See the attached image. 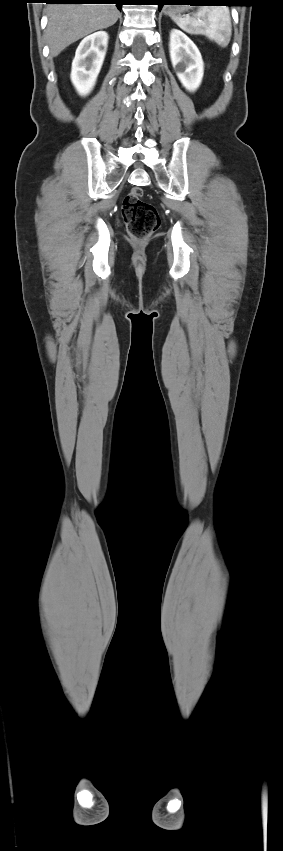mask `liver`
I'll use <instances>...</instances> for the list:
<instances>
[{"mask_svg": "<svg viewBox=\"0 0 283 851\" xmlns=\"http://www.w3.org/2000/svg\"><path fill=\"white\" fill-rule=\"evenodd\" d=\"M119 11L113 4H54L48 6L46 39L50 56L94 31L116 23Z\"/></svg>", "mask_w": 283, "mask_h": 851, "instance_id": "liver-1", "label": "liver"}]
</instances>
